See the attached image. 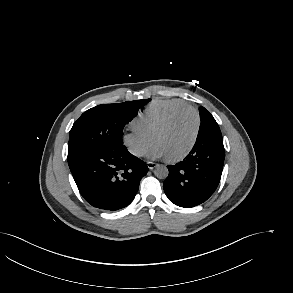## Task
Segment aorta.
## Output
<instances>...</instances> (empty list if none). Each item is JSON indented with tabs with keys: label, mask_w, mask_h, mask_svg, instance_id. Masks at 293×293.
Segmentation results:
<instances>
[{
	"label": "aorta",
	"mask_w": 293,
	"mask_h": 293,
	"mask_svg": "<svg viewBox=\"0 0 293 293\" xmlns=\"http://www.w3.org/2000/svg\"><path fill=\"white\" fill-rule=\"evenodd\" d=\"M168 168L165 165H157L154 174L159 179H165L168 176Z\"/></svg>",
	"instance_id": "762f6f07"
}]
</instances>
